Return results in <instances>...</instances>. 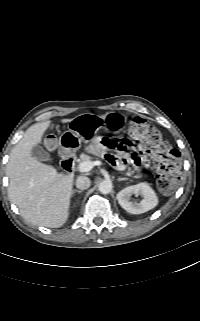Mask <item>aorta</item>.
Instances as JSON below:
<instances>
[{
  "mask_svg": "<svg viewBox=\"0 0 200 321\" xmlns=\"http://www.w3.org/2000/svg\"><path fill=\"white\" fill-rule=\"evenodd\" d=\"M98 188L102 194H108L112 191V182L110 180H103L100 182Z\"/></svg>",
  "mask_w": 200,
  "mask_h": 321,
  "instance_id": "aorta-1",
  "label": "aorta"
}]
</instances>
